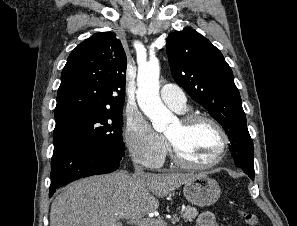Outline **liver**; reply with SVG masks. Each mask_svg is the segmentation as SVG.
<instances>
[{"instance_id":"6515ba94","label":"liver","mask_w":297,"mask_h":226,"mask_svg":"<svg viewBox=\"0 0 297 226\" xmlns=\"http://www.w3.org/2000/svg\"><path fill=\"white\" fill-rule=\"evenodd\" d=\"M198 175L115 172L81 179L52 202L50 226H122V220L155 211L156 197H165Z\"/></svg>"}]
</instances>
